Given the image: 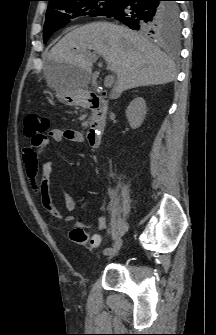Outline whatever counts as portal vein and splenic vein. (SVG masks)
<instances>
[{"label": "portal vein and splenic vein", "mask_w": 216, "mask_h": 335, "mask_svg": "<svg viewBox=\"0 0 216 335\" xmlns=\"http://www.w3.org/2000/svg\"><path fill=\"white\" fill-rule=\"evenodd\" d=\"M88 56L91 57L92 54H89ZM114 82H115V77L113 75H108L105 78L104 85L106 88H109L113 85Z\"/></svg>", "instance_id": "1"}]
</instances>
